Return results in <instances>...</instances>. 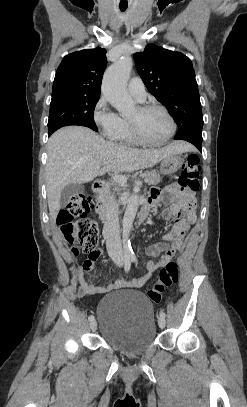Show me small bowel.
Here are the masks:
<instances>
[{"mask_svg": "<svg viewBox=\"0 0 247 407\" xmlns=\"http://www.w3.org/2000/svg\"><path fill=\"white\" fill-rule=\"evenodd\" d=\"M161 200H169L171 202L170 206L163 210V216L166 219L174 220L175 223L173 232L170 235L165 236L161 242L148 247L147 254L156 259L151 260L148 263V273L146 276L140 279H126L121 277L119 280L109 282L107 285H101L93 281L85 280V272H94V263L102 252L101 250H98L94 255L87 256L78 268L77 277L80 282L78 294L80 296L86 294L106 293L121 287H139L149 279L156 269L164 267L181 252L186 234L188 233L190 226L195 222L193 198L189 193L182 192L177 185L173 184L166 187L164 190L153 189L151 191L148 199L150 204ZM181 211H184L185 215H181Z\"/></svg>", "mask_w": 247, "mask_h": 407, "instance_id": "c3829d8e", "label": "small bowel"}]
</instances>
